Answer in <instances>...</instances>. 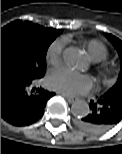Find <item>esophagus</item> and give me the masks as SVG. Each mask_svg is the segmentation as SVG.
Returning a JSON list of instances; mask_svg holds the SVG:
<instances>
[{"label":"esophagus","mask_w":122,"mask_h":154,"mask_svg":"<svg viewBox=\"0 0 122 154\" xmlns=\"http://www.w3.org/2000/svg\"><path fill=\"white\" fill-rule=\"evenodd\" d=\"M58 94L64 96L69 103H74L76 101V98H74V97L66 96V95L61 94V93H58Z\"/></svg>","instance_id":"34e87169"}]
</instances>
